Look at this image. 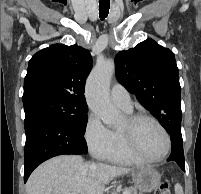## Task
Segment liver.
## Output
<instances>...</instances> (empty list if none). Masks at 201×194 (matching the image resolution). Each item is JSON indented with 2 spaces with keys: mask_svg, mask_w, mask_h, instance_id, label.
<instances>
[{
  "mask_svg": "<svg viewBox=\"0 0 201 194\" xmlns=\"http://www.w3.org/2000/svg\"><path fill=\"white\" fill-rule=\"evenodd\" d=\"M133 169L104 163L84 162L81 156L52 158L30 175L26 194H103L115 177Z\"/></svg>",
  "mask_w": 201,
  "mask_h": 194,
  "instance_id": "6515ba94",
  "label": "liver"
}]
</instances>
